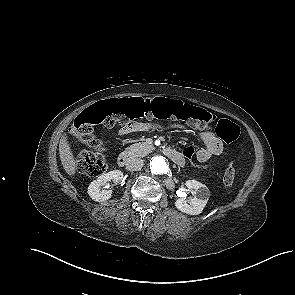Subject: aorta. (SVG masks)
I'll return each mask as SVG.
<instances>
[{
    "mask_svg": "<svg viewBox=\"0 0 295 295\" xmlns=\"http://www.w3.org/2000/svg\"><path fill=\"white\" fill-rule=\"evenodd\" d=\"M168 168V164L163 156H155L150 161V169L153 174H165Z\"/></svg>",
    "mask_w": 295,
    "mask_h": 295,
    "instance_id": "762f6f07",
    "label": "aorta"
}]
</instances>
